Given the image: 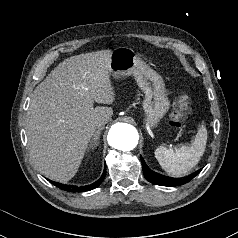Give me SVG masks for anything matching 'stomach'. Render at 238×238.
<instances>
[{
  "instance_id": "obj_1",
  "label": "stomach",
  "mask_w": 238,
  "mask_h": 238,
  "mask_svg": "<svg viewBox=\"0 0 238 238\" xmlns=\"http://www.w3.org/2000/svg\"><path fill=\"white\" fill-rule=\"evenodd\" d=\"M109 71L115 79L130 75L135 77L138 86L145 94L143 101L145 122L151 128L157 127L170 107L162 77L127 47H118L112 51Z\"/></svg>"
}]
</instances>
